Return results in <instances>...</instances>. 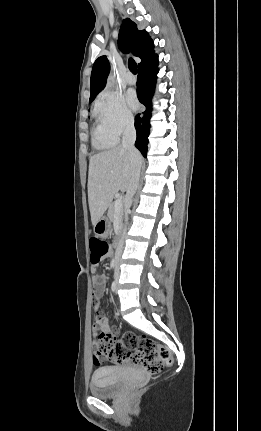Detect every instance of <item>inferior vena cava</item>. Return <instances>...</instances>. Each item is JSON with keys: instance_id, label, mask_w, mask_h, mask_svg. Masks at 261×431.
<instances>
[{"instance_id": "inferior-vena-cava-1", "label": "inferior vena cava", "mask_w": 261, "mask_h": 431, "mask_svg": "<svg viewBox=\"0 0 261 431\" xmlns=\"http://www.w3.org/2000/svg\"><path fill=\"white\" fill-rule=\"evenodd\" d=\"M136 140V130L134 127V119L130 118L126 121L125 129L123 132L122 137V147L125 148L129 154L131 155L132 159L134 160V170L133 175L131 179L130 186L127 190L126 194V203H127V210L125 212V222L127 224L128 222V209L130 208L132 204V198L138 188L139 185V179H140V169H141V162L139 160V151L135 148L134 143ZM126 228L123 230V234L119 240L118 246L116 248L115 252V276L119 275V260L121 257V254L123 252L124 248V238H125Z\"/></svg>"}]
</instances>
